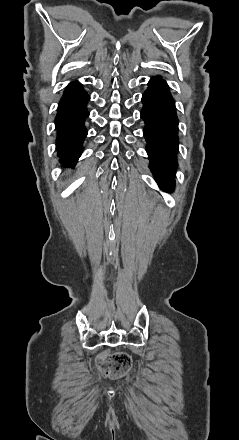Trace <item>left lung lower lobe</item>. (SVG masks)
Segmentation results:
<instances>
[{"label": "left lung lower lobe", "instance_id": "left-lung-lower-lobe-1", "mask_svg": "<svg viewBox=\"0 0 239 440\" xmlns=\"http://www.w3.org/2000/svg\"><path fill=\"white\" fill-rule=\"evenodd\" d=\"M148 85L142 96L141 118L146 125L144 137L147 141L150 169L160 187L172 192L178 151V118L175 103L163 79L153 77Z\"/></svg>", "mask_w": 239, "mask_h": 440}]
</instances>
